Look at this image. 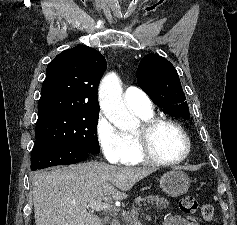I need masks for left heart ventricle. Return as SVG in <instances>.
<instances>
[{
    "instance_id": "left-heart-ventricle-1",
    "label": "left heart ventricle",
    "mask_w": 237,
    "mask_h": 225,
    "mask_svg": "<svg viewBox=\"0 0 237 225\" xmlns=\"http://www.w3.org/2000/svg\"><path fill=\"white\" fill-rule=\"evenodd\" d=\"M156 154L166 160H175L185 153L186 145L182 135L171 126L159 127L153 135Z\"/></svg>"
}]
</instances>
